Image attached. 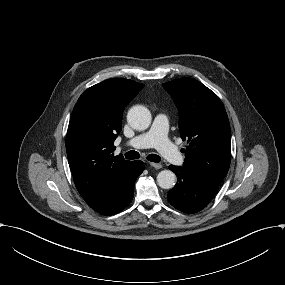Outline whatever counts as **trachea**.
<instances>
[{"instance_id": "1", "label": "trachea", "mask_w": 285, "mask_h": 285, "mask_svg": "<svg viewBox=\"0 0 285 285\" xmlns=\"http://www.w3.org/2000/svg\"><path fill=\"white\" fill-rule=\"evenodd\" d=\"M140 157V154L134 150H130L129 152L125 153V158L126 159H138ZM146 159L148 161L154 162V163H158L160 162L161 158L156 155V154H149Z\"/></svg>"}]
</instances>
